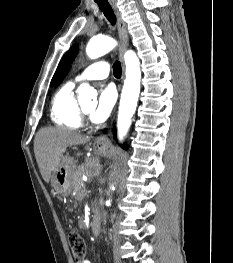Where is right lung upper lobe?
I'll return each mask as SVG.
<instances>
[{"instance_id":"right-lung-upper-lobe-1","label":"right lung upper lobe","mask_w":233,"mask_h":263,"mask_svg":"<svg viewBox=\"0 0 233 263\" xmlns=\"http://www.w3.org/2000/svg\"><path fill=\"white\" fill-rule=\"evenodd\" d=\"M66 73H67V72H65V74L62 75V77L58 80V82L56 83V86L63 80V78L65 77Z\"/></svg>"}]
</instances>
